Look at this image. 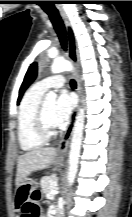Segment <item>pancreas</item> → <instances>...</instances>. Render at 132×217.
Segmentation results:
<instances>
[{
    "label": "pancreas",
    "mask_w": 132,
    "mask_h": 217,
    "mask_svg": "<svg viewBox=\"0 0 132 217\" xmlns=\"http://www.w3.org/2000/svg\"><path fill=\"white\" fill-rule=\"evenodd\" d=\"M41 188L46 198H53L54 195L50 194L51 190L57 188L58 179L54 176H45L41 179Z\"/></svg>",
    "instance_id": "obj_1"
}]
</instances>
